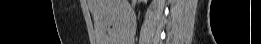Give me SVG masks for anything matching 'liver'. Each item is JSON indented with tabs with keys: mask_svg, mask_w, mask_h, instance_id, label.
<instances>
[{
	"mask_svg": "<svg viewBox=\"0 0 261 44\" xmlns=\"http://www.w3.org/2000/svg\"><path fill=\"white\" fill-rule=\"evenodd\" d=\"M89 7L95 19L97 44H127L130 35L127 25L134 24L128 0H89Z\"/></svg>",
	"mask_w": 261,
	"mask_h": 44,
	"instance_id": "obj_1",
	"label": "liver"
}]
</instances>
